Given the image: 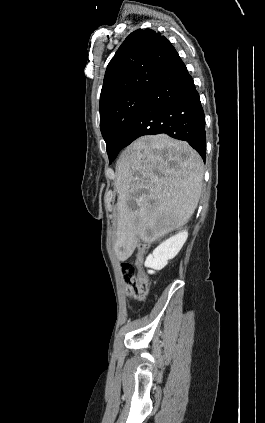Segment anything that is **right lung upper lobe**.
I'll list each match as a JSON object with an SVG mask.
<instances>
[{"mask_svg": "<svg viewBox=\"0 0 265 423\" xmlns=\"http://www.w3.org/2000/svg\"><path fill=\"white\" fill-rule=\"evenodd\" d=\"M178 55L169 40L151 29H138L122 43L107 66L100 113L138 90H151Z\"/></svg>", "mask_w": 265, "mask_h": 423, "instance_id": "obj_1", "label": "right lung upper lobe"}]
</instances>
